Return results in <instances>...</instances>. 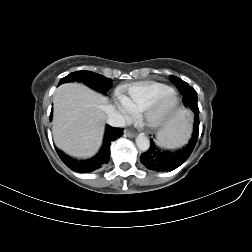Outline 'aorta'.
I'll return each mask as SVG.
<instances>
[{
  "label": "aorta",
  "instance_id": "obj_1",
  "mask_svg": "<svg viewBox=\"0 0 252 252\" xmlns=\"http://www.w3.org/2000/svg\"><path fill=\"white\" fill-rule=\"evenodd\" d=\"M136 145L141 151H147L150 147V141L145 135H139L136 138Z\"/></svg>",
  "mask_w": 252,
  "mask_h": 252
}]
</instances>
